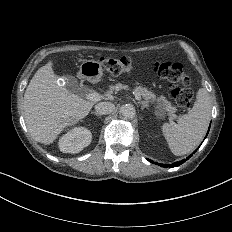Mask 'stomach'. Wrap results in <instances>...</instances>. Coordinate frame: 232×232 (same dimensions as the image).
<instances>
[{"instance_id":"1","label":"stomach","mask_w":232,"mask_h":232,"mask_svg":"<svg viewBox=\"0 0 232 232\" xmlns=\"http://www.w3.org/2000/svg\"><path fill=\"white\" fill-rule=\"evenodd\" d=\"M80 73L84 78L92 82H97L103 77L104 68L101 62L97 60H85L80 66Z\"/></svg>"}]
</instances>
